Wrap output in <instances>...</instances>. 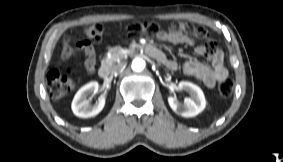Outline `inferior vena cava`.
Returning a JSON list of instances; mask_svg holds the SVG:
<instances>
[{"instance_id": "inferior-vena-cava-1", "label": "inferior vena cava", "mask_w": 283, "mask_h": 162, "mask_svg": "<svg viewBox=\"0 0 283 162\" xmlns=\"http://www.w3.org/2000/svg\"><path fill=\"white\" fill-rule=\"evenodd\" d=\"M121 68H122V65H117V66H115V67L112 69V73L114 74V73L118 72Z\"/></svg>"}]
</instances>
